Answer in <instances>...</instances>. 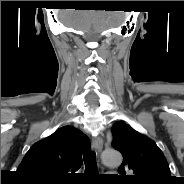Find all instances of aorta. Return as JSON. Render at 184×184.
Returning a JSON list of instances; mask_svg holds the SVG:
<instances>
[{
	"instance_id": "obj_1",
	"label": "aorta",
	"mask_w": 184,
	"mask_h": 184,
	"mask_svg": "<svg viewBox=\"0 0 184 184\" xmlns=\"http://www.w3.org/2000/svg\"><path fill=\"white\" fill-rule=\"evenodd\" d=\"M102 159L107 166H119L122 162V155L113 149L105 150Z\"/></svg>"
}]
</instances>
